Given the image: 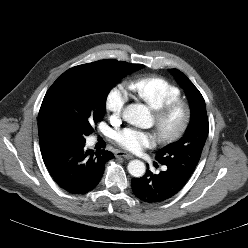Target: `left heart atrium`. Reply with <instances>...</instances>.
<instances>
[{
	"instance_id": "left-heart-atrium-1",
	"label": "left heart atrium",
	"mask_w": 248,
	"mask_h": 248,
	"mask_svg": "<svg viewBox=\"0 0 248 248\" xmlns=\"http://www.w3.org/2000/svg\"><path fill=\"white\" fill-rule=\"evenodd\" d=\"M116 140L123 148L139 152L144 148L154 146L157 142V135L150 131L128 127L117 133Z\"/></svg>"
}]
</instances>
